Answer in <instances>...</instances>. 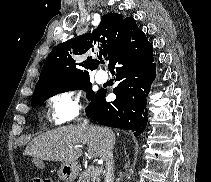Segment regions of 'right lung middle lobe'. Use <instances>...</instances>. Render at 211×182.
I'll list each match as a JSON object with an SVG mask.
<instances>
[{"mask_svg":"<svg viewBox=\"0 0 211 182\" xmlns=\"http://www.w3.org/2000/svg\"><path fill=\"white\" fill-rule=\"evenodd\" d=\"M73 90H84L87 93V97L90 100L95 94L92 91V85L89 80V76L77 79L68 83L55 84L48 87H45L35 93L32 97V107H35L38 103L45 101L46 99L58 94L67 91Z\"/></svg>","mask_w":211,"mask_h":182,"instance_id":"obj_1","label":"right lung middle lobe"}]
</instances>
